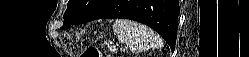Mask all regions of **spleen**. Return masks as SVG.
Returning a JSON list of instances; mask_svg holds the SVG:
<instances>
[{"label":"spleen","instance_id":"3e777b00","mask_svg":"<svg viewBox=\"0 0 249 57\" xmlns=\"http://www.w3.org/2000/svg\"><path fill=\"white\" fill-rule=\"evenodd\" d=\"M113 31L118 40L121 43H126L133 52L146 51L160 47L163 44L160 36L152 29L128 19L115 21Z\"/></svg>","mask_w":249,"mask_h":57}]
</instances>
